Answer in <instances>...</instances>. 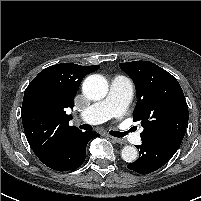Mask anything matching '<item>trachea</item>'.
I'll use <instances>...</instances> for the list:
<instances>
[{"mask_svg": "<svg viewBox=\"0 0 201 201\" xmlns=\"http://www.w3.org/2000/svg\"><path fill=\"white\" fill-rule=\"evenodd\" d=\"M81 129H85V130H90L91 127L89 125L83 124L81 125ZM130 132L133 131V129L129 130ZM128 132H118V131H110L109 134L114 136V137H124Z\"/></svg>", "mask_w": 201, "mask_h": 201, "instance_id": "trachea-1", "label": "trachea"}]
</instances>
